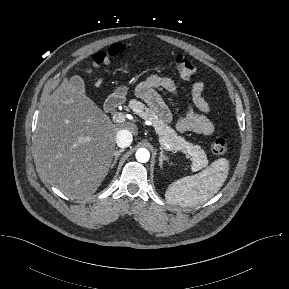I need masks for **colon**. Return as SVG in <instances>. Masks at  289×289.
Here are the masks:
<instances>
[{
    "instance_id": "colon-1",
    "label": "colon",
    "mask_w": 289,
    "mask_h": 289,
    "mask_svg": "<svg viewBox=\"0 0 289 289\" xmlns=\"http://www.w3.org/2000/svg\"><path fill=\"white\" fill-rule=\"evenodd\" d=\"M125 46L123 44H114L105 51L96 53L93 57V67L99 68L110 65L117 57H119ZM174 67L181 78L188 79L195 73L193 63L185 56L178 55L174 60ZM213 153L223 155L227 152L228 146L223 138H216L211 143Z\"/></svg>"
}]
</instances>
